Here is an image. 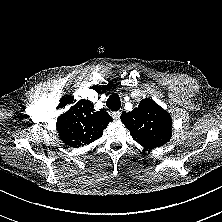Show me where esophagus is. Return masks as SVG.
Returning <instances> with one entry per match:
<instances>
[{"label": "esophagus", "mask_w": 222, "mask_h": 222, "mask_svg": "<svg viewBox=\"0 0 222 222\" xmlns=\"http://www.w3.org/2000/svg\"><path fill=\"white\" fill-rule=\"evenodd\" d=\"M121 116V112L120 111H114L112 112V117L114 120H119Z\"/></svg>", "instance_id": "obj_1"}]
</instances>
